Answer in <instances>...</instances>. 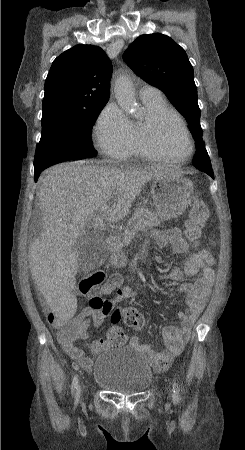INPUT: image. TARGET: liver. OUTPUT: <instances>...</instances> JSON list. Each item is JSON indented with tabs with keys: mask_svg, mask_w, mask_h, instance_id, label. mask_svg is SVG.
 <instances>
[{
	"mask_svg": "<svg viewBox=\"0 0 245 450\" xmlns=\"http://www.w3.org/2000/svg\"><path fill=\"white\" fill-rule=\"evenodd\" d=\"M168 174L179 173L74 163L58 164L43 173L38 193L43 231L30 246L28 260L32 278L60 318L70 319L77 307V239L86 235L90 223L105 230L103 206L109 207V221H120L148 181Z\"/></svg>",
	"mask_w": 245,
	"mask_h": 450,
	"instance_id": "6515ba94",
	"label": "liver"
}]
</instances>
